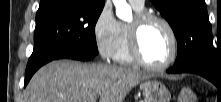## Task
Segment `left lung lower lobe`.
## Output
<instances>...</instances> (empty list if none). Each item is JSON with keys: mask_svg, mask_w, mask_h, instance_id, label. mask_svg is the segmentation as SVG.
<instances>
[{"mask_svg": "<svg viewBox=\"0 0 221 102\" xmlns=\"http://www.w3.org/2000/svg\"><path fill=\"white\" fill-rule=\"evenodd\" d=\"M195 73L201 75L214 83L215 85H219L221 83V78L219 75L215 73L208 66L198 64V63H188L174 66L168 69V73Z\"/></svg>", "mask_w": 221, "mask_h": 102, "instance_id": "obj_1", "label": "left lung lower lobe"}]
</instances>
